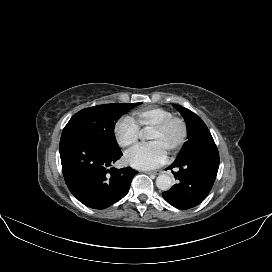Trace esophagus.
Returning <instances> with one entry per match:
<instances>
[{"mask_svg":"<svg viewBox=\"0 0 272 272\" xmlns=\"http://www.w3.org/2000/svg\"><path fill=\"white\" fill-rule=\"evenodd\" d=\"M146 174H154V175H159L162 173L161 170H154V171H146Z\"/></svg>","mask_w":272,"mask_h":272,"instance_id":"34e87169","label":"esophagus"}]
</instances>
